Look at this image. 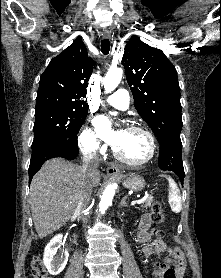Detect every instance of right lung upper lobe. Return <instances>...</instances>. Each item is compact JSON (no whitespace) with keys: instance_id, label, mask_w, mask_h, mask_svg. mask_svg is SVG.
Here are the masks:
<instances>
[{"instance_id":"obj_1","label":"right lung upper lobe","mask_w":221,"mask_h":278,"mask_svg":"<svg viewBox=\"0 0 221 278\" xmlns=\"http://www.w3.org/2000/svg\"><path fill=\"white\" fill-rule=\"evenodd\" d=\"M93 70V61L78 37L54 57L40 78L36 108L44 106L88 110L83 100Z\"/></svg>"}]
</instances>
